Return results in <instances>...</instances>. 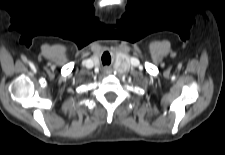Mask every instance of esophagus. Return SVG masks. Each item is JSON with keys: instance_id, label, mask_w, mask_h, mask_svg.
<instances>
[{"instance_id": "obj_1", "label": "esophagus", "mask_w": 225, "mask_h": 155, "mask_svg": "<svg viewBox=\"0 0 225 155\" xmlns=\"http://www.w3.org/2000/svg\"><path fill=\"white\" fill-rule=\"evenodd\" d=\"M111 72H112V70H111L110 67L106 66V67L104 68V73H105V74H111Z\"/></svg>"}]
</instances>
